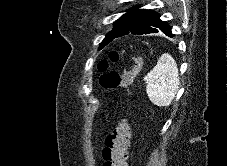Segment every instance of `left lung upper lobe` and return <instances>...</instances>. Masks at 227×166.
Returning a JSON list of instances; mask_svg holds the SVG:
<instances>
[{
    "mask_svg": "<svg viewBox=\"0 0 227 166\" xmlns=\"http://www.w3.org/2000/svg\"><path fill=\"white\" fill-rule=\"evenodd\" d=\"M139 12L140 9L136 7L132 11L127 12L121 18H119L115 22L113 29L106 35L105 39L100 43V48L104 47L106 44L112 41L117 36V34L129 29L132 26L133 21L135 20Z\"/></svg>",
    "mask_w": 227,
    "mask_h": 166,
    "instance_id": "1",
    "label": "left lung upper lobe"
}]
</instances>
